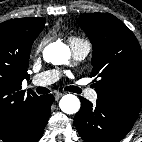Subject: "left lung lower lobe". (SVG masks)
Returning a JSON list of instances; mask_svg holds the SVG:
<instances>
[{"label":"left lung lower lobe","mask_w":142,"mask_h":142,"mask_svg":"<svg viewBox=\"0 0 142 142\" xmlns=\"http://www.w3.org/2000/svg\"><path fill=\"white\" fill-rule=\"evenodd\" d=\"M74 124L86 142H119L131 130L136 119L128 117L97 99L93 105L83 97Z\"/></svg>","instance_id":"0a47b994"}]
</instances>
